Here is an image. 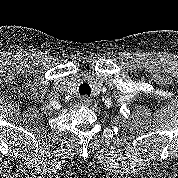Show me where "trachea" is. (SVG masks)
Segmentation results:
<instances>
[{
	"instance_id": "3493384b",
	"label": "trachea",
	"mask_w": 178,
	"mask_h": 178,
	"mask_svg": "<svg viewBox=\"0 0 178 178\" xmlns=\"http://www.w3.org/2000/svg\"><path fill=\"white\" fill-rule=\"evenodd\" d=\"M79 93H80V95L90 96V94H91V87L89 86V84L82 83L79 86Z\"/></svg>"
}]
</instances>
